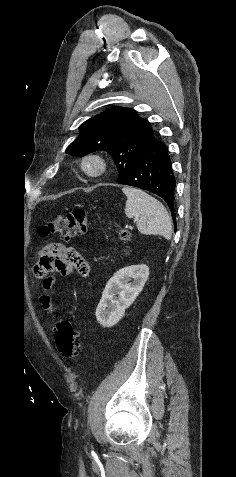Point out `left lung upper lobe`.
Returning <instances> with one entry per match:
<instances>
[{"label":"left lung upper lobe","instance_id":"left-lung-upper-lobe-1","mask_svg":"<svg viewBox=\"0 0 236 477\" xmlns=\"http://www.w3.org/2000/svg\"><path fill=\"white\" fill-rule=\"evenodd\" d=\"M80 135L67 147L73 156L104 150L108 152L123 180L133 160L153 141L151 125L133 109L115 107L88 119L79 127Z\"/></svg>","mask_w":236,"mask_h":477}]
</instances>
